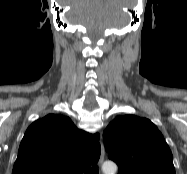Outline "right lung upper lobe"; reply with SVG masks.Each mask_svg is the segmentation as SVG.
Returning a JSON list of instances; mask_svg holds the SVG:
<instances>
[{
    "label": "right lung upper lobe",
    "instance_id": "1",
    "mask_svg": "<svg viewBox=\"0 0 187 174\" xmlns=\"http://www.w3.org/2000/svg\"><path fill=\"white\" fill-rule=\"evenodd\" d=\"M99 137L68 117L49 114L28 127L12 174H83L100 157Z\"/></svg>",
    "mask_w": 187,
    "mask_h": 174
}]
</instances>
